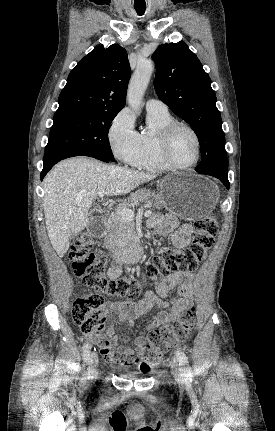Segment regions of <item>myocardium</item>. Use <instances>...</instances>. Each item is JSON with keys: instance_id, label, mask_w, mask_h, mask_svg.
I'll use <instances>...</instances> for the list:
<instances>
[{"instance_id": "1", "label": "myocardium", "mask_w": 275, "mask_h": 431, "mask_svg": "<svg viewBox=\"0 0 275 431\" xmlns=\"http://www.w3.org/2000/svg\"><path fill=\"white\" fill-rule=\"evenodd\" d=\"M180 128H184L188 130L196 143V157L193 162L187 165H181L176 163L172 156H171V143L174 134L176 131ZM159 153L162 158V160L172 169L176 170H187L192 167H194L201 158L202 153V146H201V140L197 133V131L188 123L181 122V121H173L169 125H167L162 132L159 135Z\"/></svg>"}]
</instances>
